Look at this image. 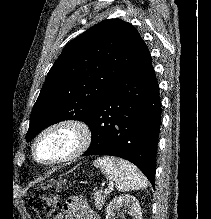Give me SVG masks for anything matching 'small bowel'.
<instances>
[{"instance_id": "obj_1", "label": "small bowel", "mask_w": 211, "mask_h": 219, "mask_svg": "<svg viewBox=\"0 0 211 219\" xmlns=\"http://www.w3.org/2000/svg\"><path fill=\"white\" fill-rule=\"evenodd\" d=\"M53 219H100L81 196L71 197Z\"/></svg>"}]
</instances>
